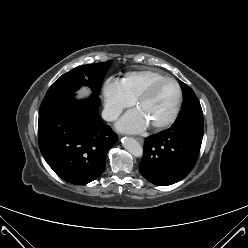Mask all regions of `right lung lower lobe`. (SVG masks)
I'll return each mask as SVG.
<instances>
[{"label":"right lung lower lobe","mask_w":248,"mask_h":248,"mask_svg":"<svg viewBox=\"0 0 248 248\" xmlns=\"http://www.w3.org/2000/svg\"><path fill=\"white\" fill-rule=\"evenodd\" d=\"M100 99L74 97L39 113V147L54 172L81 185L99 177L117 135L98 115Z\"/></svg>","instance_id":"obj_1"}]
</instances>
